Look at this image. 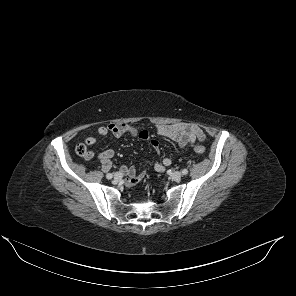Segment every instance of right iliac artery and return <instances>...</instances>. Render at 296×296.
I'll list each match as a JSON object with an SVG mask.
<instances>
[{
    "label": "right iliac artery",
    "instance_id": "right-iliac-artery-1",
    "mask_svg": "<svg viewBox=\"0 0 296 296\" xmlns=\"http://www.w3.org/2000/svg\"><path fill=\"white\" fill-rule=\"evenodd\" d=\"M112 177H113V175L111 173H109V174L106 175V178L107 179H111Z\"/></svg>",
    "mask_w": 296,
    "mask_h": 296
}]
</instances>
